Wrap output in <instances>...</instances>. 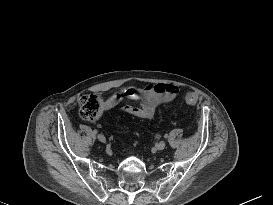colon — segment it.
I'll return each mask as SVG.
<instances>
[{"mask_svg": "<svg viewBox=\"0 0 273 205\" xmlns=\"http://www.w3.org/2000/svg\"><path fill=\"white\" fill-rule=\"evenodd\" d=\"M185 101L189 105H195L197 97L190 93L185 97ZM79 110L81 116L86 120L98 119L103 111L104 102L102 97L97 93H84L79 97Z\"/></svg>", "mask_w": 273, "mask_h": 205, "instance_id": "colon-1", "label": "colon"}]
</instances>
